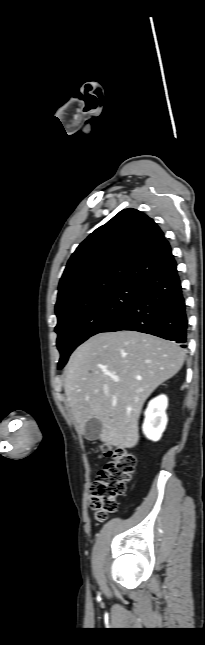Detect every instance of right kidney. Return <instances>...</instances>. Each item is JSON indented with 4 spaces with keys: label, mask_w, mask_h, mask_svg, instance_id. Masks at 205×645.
I'll use <instances>...</instances> for the list:
<instances>
[{
    "label": "right kidney",
    "mask_w": 205,
    "mask_h": 645,
    "mask_svg": "<svg viewBox=\"0 0 205 645\" xmlns=\"http://www.w3.org/2000/svg\"><path fill=\"white\" fill-rule=\"evenodd\" d=\"M167 406L168 398L165 395H160L149 402L142 426L143 433L148 439L158 441L161 438L168 421Z\"/></svg>",
    "instance_id": "1"
}]
</instances>
